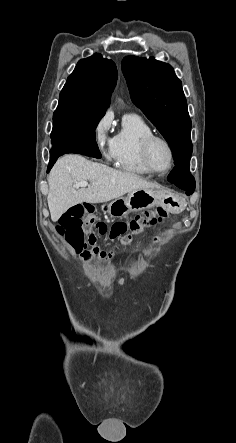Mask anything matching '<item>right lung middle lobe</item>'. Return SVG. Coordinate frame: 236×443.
<instances>
[{"label":"right lung middle lobe","instance_id":"dd1d6c3e","mask_svg":"<svg viewBox=\"0 0 236 443\" xmlns=\"http://www.w3.org/2000/svg\"><path fill=\"white\" fill-rule=\"evenodd\" d=\"M104 114L57 107L53 115L52 148L96 145L95 129Z\"/></svg>","mask_w":236,"mask_h":443}]
</instances>
